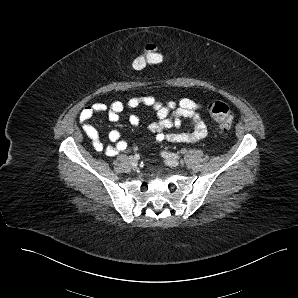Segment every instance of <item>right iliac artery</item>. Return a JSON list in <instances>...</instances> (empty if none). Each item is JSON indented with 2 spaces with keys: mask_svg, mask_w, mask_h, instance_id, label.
Wrapping results in <instances>:
<instances>
[{
  "mask_svg": "<svg viewBox=\"0 0 298 298\" xmlns=\"http://www.w3.org/2000/svg\"><path fill=\"white\" fill-rule=\"evenodd\" d=\"M134 157H135L136 159H139V154H135Z\"/></svg>",
  "mask_w": 298,
  "mask_h": 298,
  "instance_id": "obj_1",
  "label": "right iliac artery"
}]
</instances>
